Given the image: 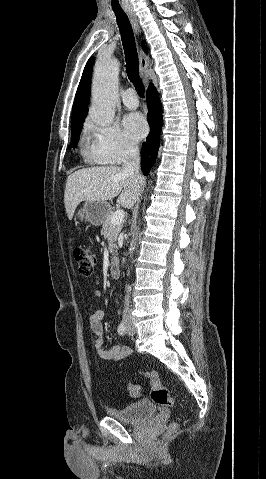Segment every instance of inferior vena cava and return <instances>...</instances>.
Returning a JSON list of instances; mask_svg holds the SVG:
<instances>
[{
	"mask_svg": "<svg viewBox=\"0 0 266 479\" xmlns=\"http://www.w3.org/2000/svg\"><path fill=\"white\" fill-rule=\"evenodd\" d=\"M122 168L125 173H129L137 177L141 176L139 174L140 156H139V150L137 145L135 144L127 145L123 155ZM125 291H126V295H125L124 310H123L124 319L130 316L129 298H130L131 287L129 285H126Z\"/></svg>",
	"mask_w": 266,
	"mask_h": 479,
	"instance_id": "inferior-vena-cava-1",
	"label": "inferior vena cava"
}]
</instances>
